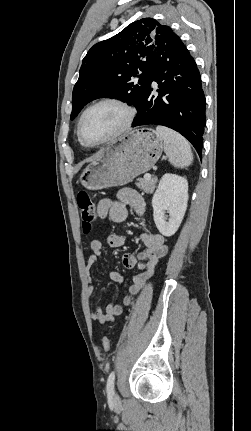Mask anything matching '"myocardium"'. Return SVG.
Returning <instances> with one entry per match:
<instances>
[{
    "instance_id": "f54148a6",
    "label": "myocardium",
    "mask_w": 251,
    "mask_h": 431,
    "mask_svg": "<svg viewBox=\"0 0 251 431\" xmlns=\"http://www.w3.org/2000/svg\"><path fill=\"white\" fill-rule=\"evenodd\" d=\"M106 104L115 105V106L121 108L125 113L124 122L114 133H112L107 138H105L99 142H96V143H90L84 139L83 134H82L83 120L90 110H92L98 106L106 105ZM135 116H136L135 108L133 106H131L130 104H128L127 102H125L121 99H118V98H114V97L102 98V99L92 103L91 105H89L82 112L80 119L78 121V125H77L78 138H79L80 142L86 147H98V146L104 145L106 143H109V142L119 138L124 133H126L130 129V127L132 126L134 119H135Z\"/></svg>"
}]
</instances>
